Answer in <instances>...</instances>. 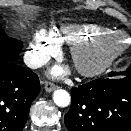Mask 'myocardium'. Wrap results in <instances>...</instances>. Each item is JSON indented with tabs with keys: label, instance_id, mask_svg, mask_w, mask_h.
Wrapping results in <instances>:
<instances>
[{
	"label": "myocardium",
	"instance_id": "1",
	"mask_svg": "<svg viewBox=\"0 0 131 131\" xmlns=\"http://www.w3.org/2000/svg\"><path fill=\"white\" fill-rule=\"evenodd\" d=\"M125 39L126 37L124 34L116 31H111L91 39L74 43L71 45L69 50L70 59L78 73L82 76H97L109 68L112 63L127 50L129 45ZM111 40L120 41L122 44L117 48L109 51V53L103 59L96 61L90 66H85L79 62L80 56L86 53H92L102 48L107 42Z\"/></svg>",
	"mask_w": 131,
	"mask_h": 131
}]
</instances>
